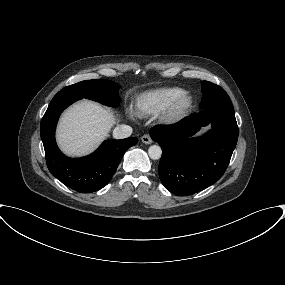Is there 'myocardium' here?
I'll use <instances>...</instances> for the list:
<instances>
[{
    "mask_svg": "<svg viewBox=\"0 0 285 285\" xmlns=\"http://www.w3.org/2000/svg\"><path fill=\"white\" fill-rule=\"evenodd\" d=\"M194 105L193 98L188 93H183L176 98L165 110L163 119L168 124H177L183 121L191 112Z\"/></svg>",
    "mask_w": 285,
    "mask_h": 285,
    "instance_id": "f54148a6",
    "label": "myocardium"
}]
</instances>
